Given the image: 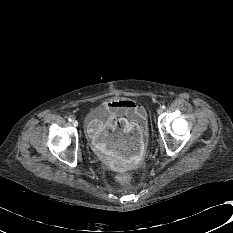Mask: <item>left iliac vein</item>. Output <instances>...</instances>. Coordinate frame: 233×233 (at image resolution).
<instances>
[{"instance_id": "obj_1", "label": "left iliac vein", "mask_w": 233, "mask_h": 233, "mask_svg": "<svg viewBox=\"0 0 233 233\" xmlns=\"http://www.w3.org/2000/svg\"><path fill=\"white\" fill-rule=\"evenodd\" d=\"M157 113H158V114H161V113H162V109H161V108H158V109H157Z\"/></svg>"}]
</instances>
